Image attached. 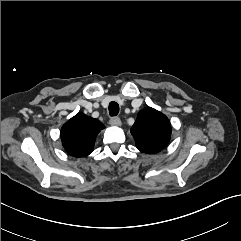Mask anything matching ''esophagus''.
<instances>
[{"label":"esophagus","instance_id":"esophagus-1","mask_svg":"<svg viewBox=\"0 0 241 241\" xmlns=\"http://www.w3.org/2000/svg\"><path fill=\"white\" fill-rule=\"evenodd\" d=\"M110 125L112 126H120L121 125V120L119 117H112L110 119Z\"/></svg>","mask_w":241,"mask_h":241}]
</instances>
